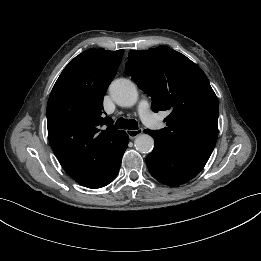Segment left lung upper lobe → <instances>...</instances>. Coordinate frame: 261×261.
Wrapping results in <instances>:
<instances>
[{
  "label": "left lung upper lobe",
  "instance_id": "left-lung-upper-lobe-1",
  "mask_svg": "<svg viewBox=\"0 0 261 261\" xmlns=\"http://www.w3.org/2000/svg\"><path fill=\"white\" fill-rule=\"evenodd\" d=\"M126 72L152 97V109L170 111L154 138L183 152L211 154L218 136L219 106L204 72L183 54L160 46L131 50Z\"/></svg>",
  "mask_w": 261,
  "mask_h": 261
}]
</instances>
